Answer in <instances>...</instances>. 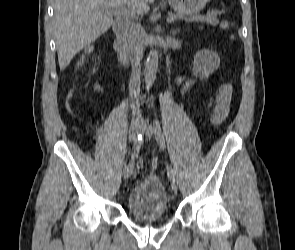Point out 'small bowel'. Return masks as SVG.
Segmentation results:
<instances>
[{
  "mask_svg": "<svg viewBox=\"0 0 295 250\" xmlns=\"http://www.w3.org/2000/svg\"><path fill=\"white\" fill-rule=\"evenodd\" d=\"M174 44H177V42L174 41ZM83 60H84V59L82 58V59H80V60L78 61L77 65H76L77 68H79V67L82 66V64H83ZM177 84H178V86L181 88V91H182L183 93H185L187 90H189V89L193 86L194 81H193L192 79H188V78H184V77H179V78L177 79ZM97 88L100 89V86L97 85Z\"/></svg>",
  "mask_w": 295,
  "mask_h": 250,
  "instance_id": "c3829d8e",
  "label": "small bowel"
}]
</instances>
